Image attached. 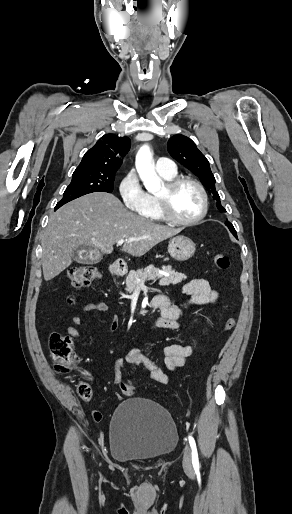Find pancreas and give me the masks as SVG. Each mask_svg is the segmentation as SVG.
<instances>
[{"mask_svg": "<svg viewBox=\"0 0 292 514\" xmlns=\"http://www.w3.org/2000/svg\"><path fill=\"white\" fill-rule=\"evenodd\" d=\"M159 268H154V266H147V268H142V270H131L126 278V292H134L136 286H141L144 284L145 280H159V286H169V284H179L182 280H186L187 276L185 274H179V272H174L171 266H163L161 272H167L169 276H161L159 274Z\"/></svg>", "mask_w": 292, "mask_h": 514, "instance_id": "pancreas-1", "label": "pancreas"}]
</instances>
